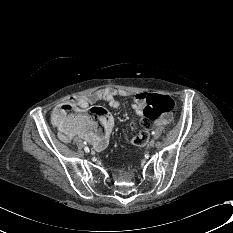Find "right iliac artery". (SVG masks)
<instances>
[{"label": "right iliac artery", "instance_id": "82829eb1", "mask_svg": "<svg viewBox=\"0 0 233 233\" xmlns=\"http://www.w3.org/2000/svg\"><path fill=\"white\" fill-rule=\"evenodd\" d=\"M84 144H86V142H84ZM84 150H85V152H89L90 151L88 147H85Z\"/></svg>", "mask_w": 233, "mask_h": 233}]
</instances>
